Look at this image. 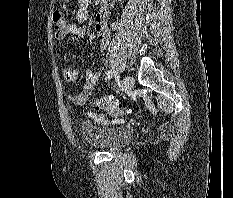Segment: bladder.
I'll list each match as a JSON object with an SVG mask.
<instances>
[{"instance_id": "1", "label": "bladder", "mask_w": 233, "mask_h": 198, "mask_svg": "<svg viewBox=\"0 0 233 198\" xmlns=\"http://www.w3.org/2000/svg\"><path fill=\"white\" fill-rule=\"evenodd\" d=\"M87 141L94 147L105 151H115L126 146L132 139V131L127 127L82 126Z\"/></svg>"}]
</instances>
